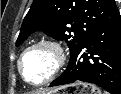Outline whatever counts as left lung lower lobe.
I'll return each instance as SVG.
<instances>
[{
    "instance_id": "1",
    "label": "left lung lower lobe",
    "mask_w": 121,
    "mask_h": 94,
    "mask_svg": "<svg viewBox=\"0 0 121 94\" xmlns=\"http://www.w3.org/2000/svg\"><path fill=\"white\" fill-rule=\"evenodd\" d=\"M77 81L96 84L111 94H121V16L98 28L71 54L67 69L51 84Z\"/></svg>"
}]
</instances>
